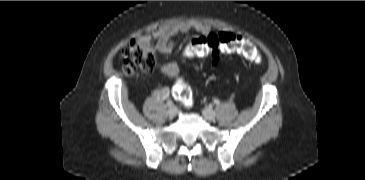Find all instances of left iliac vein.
Listing matches in <instances>:
<instances>
[{
    "mask_svg": "<svg viewBox=\"0 0 365 180\" xmlns=\"http://www.w3.org/2000/svg\"><path fill=\"white\" fill-rule=\"evenodd\" d=\"M202 114L209 121H213L216 118V113L210 107L204 108Z\"/></svg>",
    "mask_w": 365,
    "mask_h": 180,
    "instance_id": "left-iliac-vein-1",
    "label": "left iliac vein"
}]
</instances>
